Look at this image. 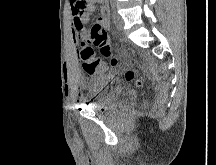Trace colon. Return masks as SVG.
Here are the masks:
<instances>
[{"instance_id": "5ec220e1", "label": "colon", "mask_w": 216, "mask_h": 165, "mask_svg": "<svg viewBox=\"0 0 216 165\" xmlns=\"http://www.w3.org/2000/svg\"><path fill=\"white\" fill-rule=\"evenodd\" d=\"M71 4L75 9V5H86V0H71ZM91 44L98 47L104 57L110 58V66L115 67L118 65V60L111 56L109 37L106 29L101 24L96 23L90 30L89 43H83L79 52L86 70L93 73H101L107 67L106 63L95 57ZM124 75L127 81L133 82L137 87L140 88L143 86V81L137 77L133 70L126 69Z\"/></svg>"}]
</instances>
